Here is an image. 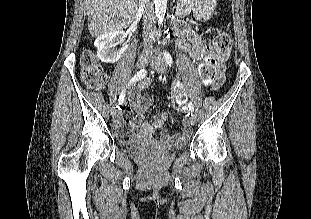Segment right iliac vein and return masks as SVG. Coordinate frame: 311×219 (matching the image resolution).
<instances>
[{
	"label": "right iliac vein",
	"instance_id": "obj_1",
	"mask_svg": "<svg viewBox=\"0 0 311 219\" xmlns=\"http://www.w3.org/2000/svg\"><path fill=\"white\" fill-rule=\"evenodd\" d=\"M148 62V57L147 56H140L137 60V67L138 68H144L147 65ZM112 115L114 118H116L118 116V111L113 108L112 109Z\"/></svg>",
	"mask_w": 311,
	"mask_h": 219
}]
</instances>
